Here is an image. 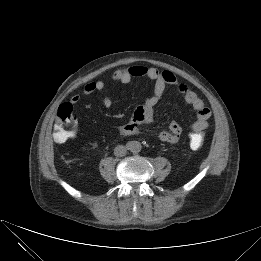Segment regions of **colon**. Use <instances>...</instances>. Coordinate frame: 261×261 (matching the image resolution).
Segmentation results:
<instances>
[{
  "instance_id": "5ec220e1",
  "label": "colon",
  "mask_w": 261,
  "mask_h": 261,
  "mask_svg": "<svg viewBox=\"0 0 261 261\" xmlns=\"http://www.w3.org/2000/svg\"><path fill=\"white\" fill-rule=\"evenodd\" d=\"M77 120L73 113V107L69 103L62 104L57 112L53 138L56 142L62 143L73 137L76 132ZM205 141L203 131L192 132L189 136V145L191 149H200Z\"/></svg>"
}]
</instances>
